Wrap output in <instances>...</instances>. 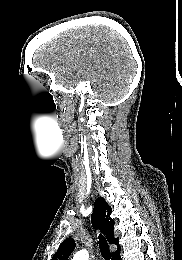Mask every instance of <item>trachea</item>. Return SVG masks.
<instances>
[{
    "label": "trachea",
    "instance_id": "trachea-1",
    "mask_svg": "<svg viewBox=\"0 0 182 260\" xmlns=\"http://www.w3.org/2000/svg\"><path fill=\"white\" fill-rule=\"evenodd\" d=\"M98 238H99V247H100V252L102 257L104 258V260H110L111 254H110V249L106 238L102 234H100Z\"/></svg>",
    "mask_w": 182,
    "mask_h": 260
}]
</instances>
